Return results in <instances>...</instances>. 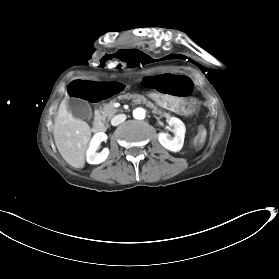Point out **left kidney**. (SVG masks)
Returning <instances> with one entry per match:
<instances>
[{
	"mask_svg": "<svg viewBox=\"0 0 279 279\" xmlns=\"http://www.w3.org/2000/svg\"><path fill=\"white\" fill-rule=\"evenodd\" d=\"M167 122L174 128L173 133L175 136L171 137L168 133H159L158 140L160 144L166 149L173 152H178L183 147L186 127L184 123L176 117H171Z\"/></svg>",
	"mask_w": 279,
	"mask_h": 279,
	"instance_id": "1",
	"label": "left kidney"
}]
</instances>
